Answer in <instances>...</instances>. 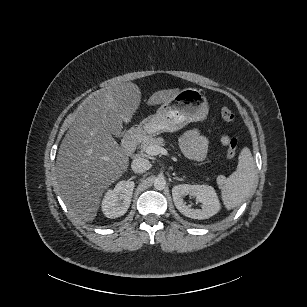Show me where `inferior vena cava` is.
I'll return each mask as SVG.
<instances>
[{"label": "inferior vena cava", "mask_w": 307, "mask_h": 307, "mask_svg": "<svg viewBox=\"0 0 307 307\" xmlns=\"http://www.w3.org/2000/svg\"><path fill=\"white\" fill-rule=\"evenodd\" d=\"M151 164L145 158H135L131 162V168L134 172L139 173L150 169Z\"/></svg>", "instance_id": "602c4592"}]
</instances>
